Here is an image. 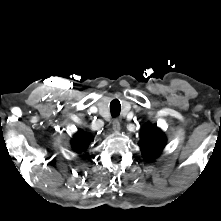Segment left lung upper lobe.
<instances>
[{
  "instance_id": "5c2ea615",
  "label": "left lung upper lobe",
  "mask_w": 221,
  "mask_h": 221,
  "mask_svg": "<svg viewBox=\"0 0 221 221\" xmlns=\"http://www.w3.org/2000/svg\"><path fill=\"white\" fill-rule=\"evenodd\" d=\"M166 144L164 133L156 126L146 124L141 133L140 147L147 161H153Z\"/></svg>"
}]
</instances>
